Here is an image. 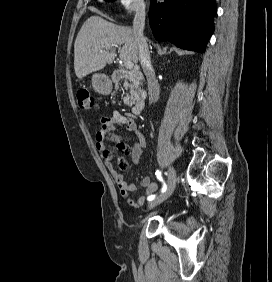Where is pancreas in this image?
I'll return each instance as SVG.
<instances>
[{"label": "pancreas", "instance_id": "pancreas-1", "mask_svg": "<svg viewBox=\"0 0 272 282\" xmlns=\"http://www.w3.org/2000/svg\"><path fill=\"white\" fill-rule=\"evenodd\" d=\"M125 87L129 89V94H127L123 100L124 103L127 105H132L137 97V89H136V82L131 80L130 83H126Z\"/></svg>", "mask_w": 272, "mask_h": 282}]
</instances>
